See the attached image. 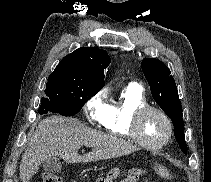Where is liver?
<instances>
[{
    "mask_svg": "<svg viewBox=\"0 0 211 182\" xmlns=\"http://www.w3.org/2000/svg\"><path fill=\"white\" fill-rule=\"evenodd\" d=\"M83 145L93 150L80 156L78 150ZM138 149L121 138L89 128L76 118L50 116L38 124L29 139L20 163V179L29 182L48 157L86 163L120 157Z\"/></svg>",
    "mask_w": 211,
    "mask_h": 182,
    "instance_id": "6515ba94",
    "label": "liver"
}]
</instances>
